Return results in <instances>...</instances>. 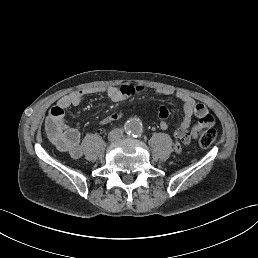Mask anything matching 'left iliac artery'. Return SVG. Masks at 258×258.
I'll return each instance as SVG.
<instances>
[{
	"label": "left iliac artery",
	"instance_id": "44dca946",
	"mask_svg": "<svg viewBox=\"0 0 258 258\" xmlns=\"http://www.w3.org/2000/svg\"><path fill=\"white\" fill-rule=\"evenodd\" d=\"M141 133H142L141 124L138 122H134L130 130V135L134 138H137L141 135Z\"/></svg>",
	"mask_w": 258,
	"mask_h": 258
}]
</instances>
